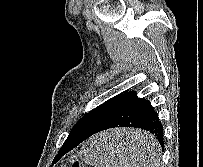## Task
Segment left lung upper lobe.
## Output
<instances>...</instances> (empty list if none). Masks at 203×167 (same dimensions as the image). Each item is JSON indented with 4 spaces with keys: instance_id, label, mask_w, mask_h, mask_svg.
Segmentation results:
<instances>
[{
    "instance_id": "1",
    "label": "left lung upper lobe",
    "mask_w": 203,
    "mask_h": 167,
    "mask_svg": "<svg viewBox=\"0 0 203 167\" xmlns=\"http://www.w3.org/2000/svg\"><path fill=\"white\" fill-rule=\"evenodd\" d=\"M123 96V93L109 99L94 110L83 116L70 131V136H77L82 134H89L95 130L98 125L108 116L111 110L114 108L116 103ZM57 158L58 155H57Z\"/></svg>"
}]
</instances>
